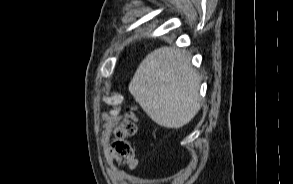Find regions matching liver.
Wrapping results in <instances>:
<instances>
[{
    "label": "liver",
    "mask_w": 293,
    "mask_h": 184,
    "mask_svg": "<svg viewBox=\"0 0 293 184\" xmlns=\"http://www.w3.org/2000/svg\"><path fill=\"white\" fill-rule=\"evenodd\" d=\"M190 60L185 50L155 49L140 63L129 84L135 101L162 127L181 128L200 110V79Z\"/></svg>",
    "instance_id": "1"
}]
</instances>
